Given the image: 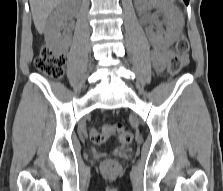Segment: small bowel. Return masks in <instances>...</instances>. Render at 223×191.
Here are the masks:
<instances>
[{"instance_id": "1", "label": "small bowel", "mask_w": 223, "mask_h": 191, "mask_svg": "<svg viewBox=\"0 0 223 191\" xmlns=\"http://www.w3.org/2000/svg\"><path fill=\"white\" fill-rule=\"evenodd\" d=\"M172 52L167 48H155L151 51L150 61L156 71H163L166 63L171 56ZM188 61L187 57L183 58V63L186 64Z\"/></svg>"}]
</instances>
